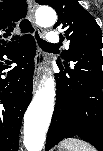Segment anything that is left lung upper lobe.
Segmentation results:
<instances>
[{"label": "left lung upper lobe", "instance_id": "1", "mask_svg": "<svg viewBox=\"0 0 103 151\" xmlns=\"http://www.w3.org/2000/svg\"><path fill=\"white\" fill-rule=\"evenodd\" d=\"M40 5H49L58 13L54 28L61 27L64 36L70 40L68 50H64L59 60L69 61L81 49H102V31L93 18L77 0H36ZM62 37V35H60Z\"/></svg>", "mask_w": 103, "mask_h": 151}]
</instances>
